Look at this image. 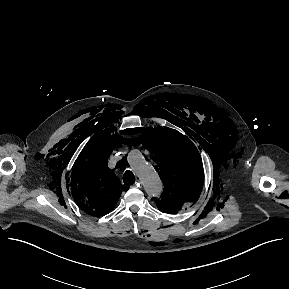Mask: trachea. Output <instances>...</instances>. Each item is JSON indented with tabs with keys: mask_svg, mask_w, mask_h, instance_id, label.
Instances as JSON below:
<instances>
[{
	"mask_svg": "<svg viewBox=\"0 0 289 289\" xmlns=\"http://www.w3.org/2000/svg\"><path fill=\"white\" fill-rule=\"evenodd\" d=\"M123 182L126 185H132L135 183V176L134 174L130 171L127 170L124 175H123Z\"/></svg>",
	"mask_w": 289,
	"mask_h": 289,
	"instance_id": "obj_1",
	"label": "trachea"
}]
</instances>
